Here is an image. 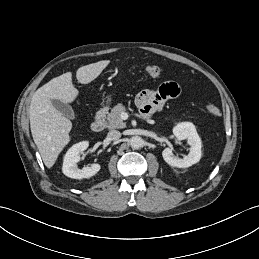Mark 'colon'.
I'll use <instances>...</instances> for the list:
<instances>
[{
	"label": "colon",
	"mask_w": 259,
	"mask_h": 259,
	"mask_svg": "<svg viewBox=\"0 0 259 259\" xmlns=\"http://www.w3.org/2000/svg\"><path fill=\"white\" fill-rule=\"evenodd\" d=\"M145 72L151 77H159L163 74V68L159 65H148L145 67ZM205 109L212 116L220 115V109L214 104H206Z\"/></svg>",
	"instance_id": "5ec220e1"
}]
</instances>
